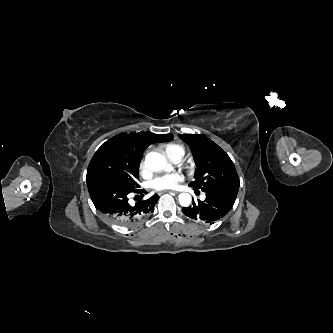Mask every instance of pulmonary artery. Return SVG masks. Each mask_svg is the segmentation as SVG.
<instances>
[{
  "label": "pulmonary artery",
  "mask_w": 333,
  "mask_h": 333,
  "mask_svg": "<svg viewBox=\"0 0 333 333\" xmlns=\"http://www.w3.org/2000/svg\"><path fill=\"white\" fill-rule=\"evenodd\" d=\"M182 155L181 154H176V155H174L173 157H171L170 159L173 161V162H175V163H178V162H180L181 160H182Z\"/></svg>",
  "instance_id": "pulmonary-artery-1"
}]
</instances>
